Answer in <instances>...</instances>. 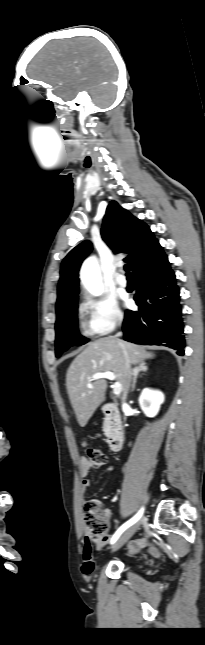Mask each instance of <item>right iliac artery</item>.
Returning <instances> with one entry per match:
<instances>
[{"instance_id":"82829eb1","label":"right iliac artery","mask_w":205,"mask_h":645,"mask_svg":"<svg viewBox=\"0 0 205 645\" xmlns=\"http://www.w3.org/2000/svg\"><path fill=\"white\" fill-rule=\"evenodd\" d=\"M143 512H144V508H141V509L139 510V512H138V513H137V514H136L132 519H130L129 521H127L125 524H123V525H122V526H121V527H120V528L115 532V534L113 535V537H112V539H111V544L115 543V542L117 541V539L120 537V535H121V534H122V533H123L127 528H129V527H130L131 525H133L136 521H138V520L141 518V516H142Z\"/></svg>"}]
</instances>
